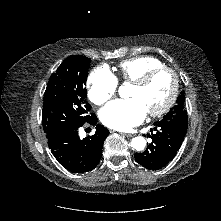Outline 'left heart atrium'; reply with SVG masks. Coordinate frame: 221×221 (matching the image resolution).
Listing matches in <instances>:
<instances>
[{"mask_svg":"<svg viewBox=\"0 0 221 221\" xmlns=\"http://www.w3.org/2000/svg\"><path fill=\"white\" fill-rule=\"evenodd\" d=\"M147 109L139 98L115 100L100 111L101 122L112 129L127 131L140 124Z\"/></svg>","mask_w":221,"mask_h":221,"instance_id":"left-heart-atrium-1","label":"left heart atrium"}]
</instances>
